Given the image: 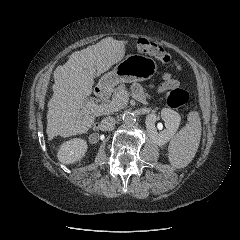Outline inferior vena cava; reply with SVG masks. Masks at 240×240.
<instances>
[{"label":"inferior vena cava","mask_w":240,"mask_h":240,"mask_svg":"<svg viewBox=\"0 0 240 240\" xmlns=\"http://www.w3.org/2000/svg\"><path fill=\"white\" fill-rule=\"evenodd\" d=\"M116 124V120L113 117H105L101 122H100V130L102 131H110L114 129V126Z\"/></svg>","instance_id":"obj_1"}]
</instances>
